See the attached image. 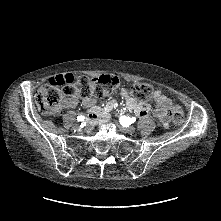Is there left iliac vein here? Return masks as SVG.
<instances>
[{"instance_id":"obj_1","label":"left iliac vein","mask_w":221,"mask_h":221,"mask_svg":"<svg viewBox=\"0 0 221 221\" xmlns=\"http://www.w3.org/2000/svg\"><path fill=\"white\" fill-rule=\"evenodd\" d=\"M120 129L123 133H133V132H135V127L134 126H130V127L121 126Z\"/></svg>"}]
</instances>
